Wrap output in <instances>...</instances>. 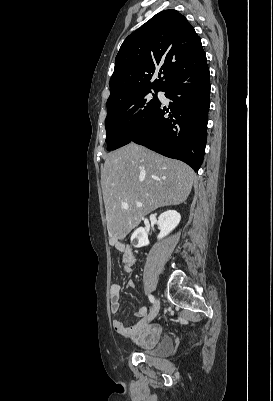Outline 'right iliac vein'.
<instances>
[{
  "instance_id": "right-iliac-vein-1",
  "label": "right iliac vein",
  "mask_w": 273,
  "mask_h": 401,
  "mask_svg": "<svg viewBox=\"0 0 273 401\" xmlns=\"http://www.w3.org/2000/svg\"><path fill=\"white\" fill-rule=\"evenodd\" d=\"M159 309H160V301L157 299V300L155 301V303H154V305H153L151 311L149 312V315H148V317H147V320H149V321H150V320H153V319L156 317V315L158 314Z\"/></svg>"
}]
</instances>
